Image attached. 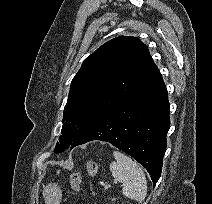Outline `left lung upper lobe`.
Masks as SVG:
<instances>
[{
    "mask_svg": "<svg viewBox=\"0 0 212 204\" xmlns=\"http://www.w3.org/2000/svg\"><path fill=\"white\" fill-rule=\"evenodd\" d=\"M157 70L135 37L114 38L88 56L71 82L62 135L54 152L74 148L82 133L135 91Z\"/></svg>",
    "mask_w": 212,
    "mask_h": 204,
    "instance_id": "obj_1",
    "label": "left lung upper lobe"
}]
</instances>
